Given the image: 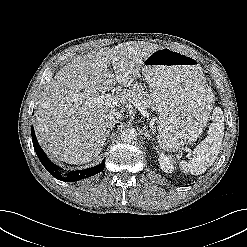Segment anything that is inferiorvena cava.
<instances>
[{
  "label": "inferior vena cava",
  "instance_id": "inferior-vena-cava-1",
  "mask_svg": "<svg viewBox=\"0 0 247 247\" xmlns=\"http://www.w3.org/2000/svg\"><path fill=\"white\" fill-rule=\"evenodd\" d=\"M122 119V114L119 112H110L105 117L106 128L114 127Z\"/></svg>",
  "mask_w": 247,
  "mask_h": 247
}]
</instances>
